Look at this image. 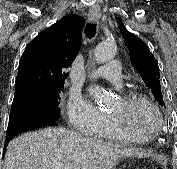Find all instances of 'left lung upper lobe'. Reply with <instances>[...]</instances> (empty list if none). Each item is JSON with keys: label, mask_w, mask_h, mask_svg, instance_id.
I'll use <instances>...</instances> for the list:
<instances>
[{"label": "left lung upper lobe", "mask_w": 177, "mask_h": 169, "mask_svg": "<svg viewBox=\"0 0 177 169\" xmlns=\"http://www.w3.org/2000/svg\"><path fill=\"white\" fill-rule=\"evenodd\" d=\"M122 35L128 47L131 61L148 88L152 90L156 100L161 106H165L161 93L159 67L148 46L135 35L130 33L122 21Z\"/></svg>", "instance_id": "obj_1"}]
</instances>
